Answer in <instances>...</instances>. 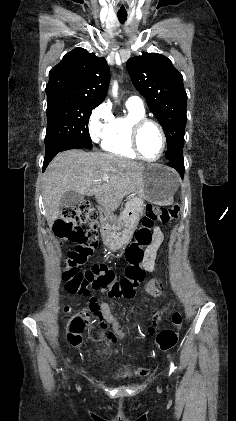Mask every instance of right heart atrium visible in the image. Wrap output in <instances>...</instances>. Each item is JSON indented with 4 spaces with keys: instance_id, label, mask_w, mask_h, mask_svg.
Wrapping results in <instances>:
<instances>
[{
    "instance_id": "obj_1",
    "label": "right heart atrium",
    "mask_w": 236,
    "mask_h": 421,
    "mask_svg": "<svg viewBox=\"0 0 236 421\" xmlns=\"http://www.w3.org/2000/svg\"><path fill=\"white\" fill-rule=\"evenodd\" d=\"M113 119L110 107L103 103L96 107L88 121V130L93 143H98Z\"/></svg>"
}]
</instances>
